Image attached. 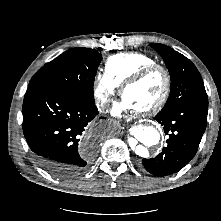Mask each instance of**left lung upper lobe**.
Returning <instances> with one entry per match:
<instances>
[{
  "label": "left lung upper lobe",
  "instance_id": "1",
  "mask_svg": "<svg viewBox=\"0 0 221 221\" xmlns=\"http://www.w3.org/2000/svg\"><path fill=\"white\" fill-rule=\"evenodd\" d=\"M150 46L162 56L171 76L170 95L162 111L188 102L208 103L202 77L188 58L163 44Z\"/></svg>",
  "mask_w": 221,
  "mask_h": 221
}]
</instances>
